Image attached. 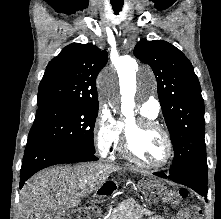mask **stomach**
<instances>
[{
	"mask_svg": "<svg viewBox=\"0 0 221 219\" xmlns=\"http://www.w3.org/2000/svg\"><path fill=\"white\" fill-rule=\"evenodd\" d=\"M139 189L144 195L145 204H164L167 195H171V190H165L161 178H145Z\"/></svg>",
	"mask_w": 221,
	"mask_h": 219,
	"instance_id": "stomach-1",
	"label": "stomach"
}]
</instances>
